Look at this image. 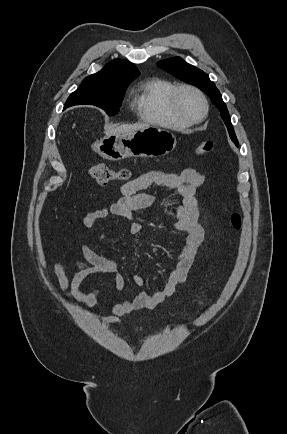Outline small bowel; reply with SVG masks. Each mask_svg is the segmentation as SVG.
I'll use <instances>...</instances> for the list:
<instances>
[{
  "label": "small bowel",
  "mask_w": 287,
  "mask_h": 434,
  "mask_svg": "<svg viewBox=\"0 0 287 434\" xmlns=\"http://www.w3.org/2000/svg\"><path fill=\"white\" fill-rule=\"evenodd\" d=\"M204 183V175L196 169L185 168L179 174L166 173L160 170L145 172L120 187L122 197L108 207H103L87 212L81 219L86 228H92L98 221L109 216L116 215L129 220L125 231L128 235H137L143 224L134 218L133 212L137 210L160 209L157 198L148 193H140L150 185H161L177 190L182 196V202L170 206L169 214L175 221L172 228L183 235L182 243L175 257L173 269L170 271L162 290L146 293L140 292L134 297L122 302H113L109 305L112 313L102 318L105 325H117L120 316L131 314L140 310H153L171 297L176 288L183 282L194 257L204 240V229L198 223L199 208L196 199L197 189ZM108 234L102 236V240ZM77 249L83 260L71 259V263L77 269L74 277L69 280L60 263L55 264L54 269L58 282L68 299L80 302L85 309L93 308L102 297V292L94 290L84 293L80 285L86 278L110 275L114 286L118 290L125 288V280L121 274L115 259L92 251L85 245H77ZM133 283L140 287L144 284V278L139 274L132 277Z\"/></svg>",
  "instance_id": "c3829d8e"
}]
</instances>
